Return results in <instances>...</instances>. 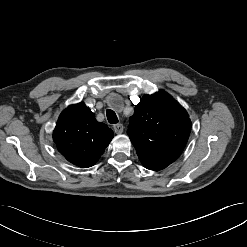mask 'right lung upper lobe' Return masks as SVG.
Segmentation results:
<instances>
[{
	"mask_svg": "<svg viewBox=\"0 0 247 247\" xmlns=\"http://www.w3.org/2000/svg\"><path fill=\"white\" fill-rule=\"evenodd\" d=\"M113 136V131L98 122L84 103H78L61 113L53 140L69 162L87 168L98 161Z\"/></svg>",
	"mask_w": 247,
	"mask_h": 247,
	"instance_id": "obj_1",
	"label": "right lung upper lobe"
}]
</instances>
